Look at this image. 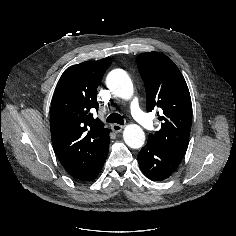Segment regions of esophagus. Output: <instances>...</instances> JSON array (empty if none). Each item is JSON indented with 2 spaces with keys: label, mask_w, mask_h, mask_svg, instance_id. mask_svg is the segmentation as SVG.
<instances>
[{
  "label": "esophagus",
  "mask_w": 236,
  "mask_h": 236,
  "mask_svg": "<svg viewBox=\"0 0 236 236\" xmlns=\"http://www.w3.org/2000/svg\"><path fill=\"white\" fill-rule=\"evenodd\" d=\"M122 129H123V126H122V125H119V124H113V125H112V130H113L114 132H121Z\"/></svg>",
  "instance_id": "34e87169"
}]
</instances>
